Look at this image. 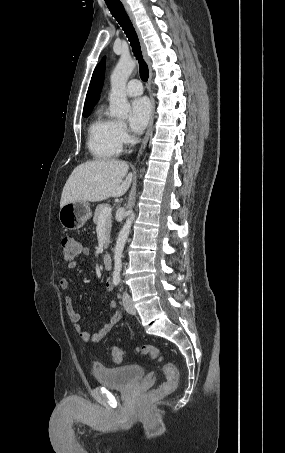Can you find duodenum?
<instances>
[{
  "instance_id": "obj_1",
  "label": "duodenum",
  "mask_w": 285,
  "mask_h": 453,
  "mask_svg": "<svg viewBox=\"0 0 285 453\" xmlns=\"http://www.w3.org/2000/svg\"><path fill=\"white\" fill-rule=\"evenodd\" d=\"M103 265L105 268L109 269L112 266V256L109 253H105L102 258Z\"/></svg>"
}]
</instances>
